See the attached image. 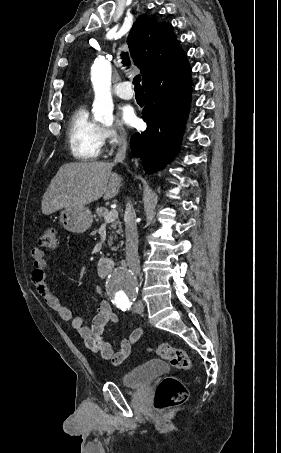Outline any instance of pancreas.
<instances>
[{"mask_svg":"<svg viewBox=\"0 0 281 453\" xmlns=\"http://www.w3.org/2000/svg\"><path fill=\"white\" fill-rule=\"evenodd\" d=\"M106 212H108V208H105V206H98V208H96L95 210V216H98V218H101L102 220V216H105ZM97 218V220H98ZM122 227V224H121V220H119V218H115V220H113V222H111L110 224V237H109V241H108V245L109 247H112L113 243V237H115V239H118L117 235H122L123 231L121 229Z\"/></svg>","mask_w":281,"mask_h":453,"instance_id":"obj_1","label":"pancreas"}]
</instances>
